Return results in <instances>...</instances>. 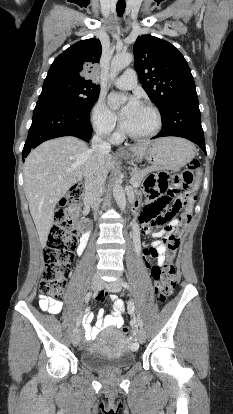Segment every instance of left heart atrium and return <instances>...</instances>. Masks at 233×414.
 Masks as SVG:
<instances>
[{
  "label": "left heart atrium",
  "mask_w": 233,
  "mask_h": 414,
  "mask_svg": "<svg viewBox=\"0 0 233 414\" xmlns=\"http://www.w3.org/2000/svg\"><path fill=\"white\" fill-rule=\"evenodd\" d=\"M109 104L112 107H116L120 104H123L120 110V116H121L122 121H125L137 109L140 108V104L135 98H127L124 94H121V93H112L109 96Z\"/></svg>",
  "instance_id": "1"
}]
</instances>
